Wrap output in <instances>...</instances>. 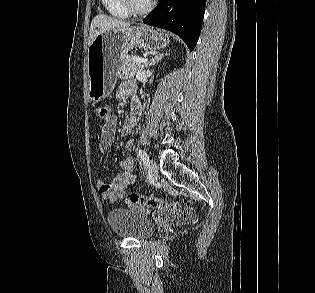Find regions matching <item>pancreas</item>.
Wrapping results in <instances>:
<instances>
[{
    "label": "pancreas",
    "mask_w": 315,
    "mask_h": 293,
    "mask_svg": "<svg viewBox=\"0 0 315 293\" xmlns=\"http://www.w3.org/2000/svg\"><path fill=\"white\" fill-rule=\"evenodd\" d=\"M133 56L125 55L121 59V65L118 70L119 78L122 80L134 79L137 71L140 69L139 63H133L131 59Z\"/></svg>",
    "instance_id": "pancreas-1"
}]
</instances>
